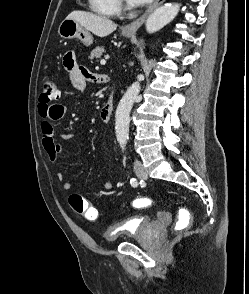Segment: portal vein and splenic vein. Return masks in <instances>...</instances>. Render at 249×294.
I'll use <instances>...</instances> for the list:
<instances>
[{"instance_id":"portal-vein-and-splenic-vein-1","label":"portal vein and splenic vein","mask_w":249,"mask_h":294,"mask_svg":"<svg viewBox=\"0 0 249 294\" xmlns=\"http://www.w3.org/2000/svg\"><path fill=\"white\" fill-rule=\"evenodd\" d=\"M100 64L101 65H105L106 64V61L103 59V60L100 61Z\"/></svg>"}]
</instances>
